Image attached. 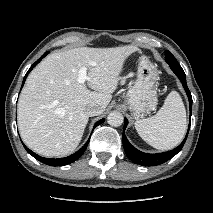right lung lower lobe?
Masks as SVG:
<instances>
[{
  "label": "right lung lower lobe",
  "instance_id": "right-lung-lower-lobe-1",
  "mask_svg": "<svg viewBox=\"0 0 213 213\" xmlns=\"http://www.w3.org/2000/svg\"><path fill=\"white\" fill-rule=\"evenodd\" d=\"M49 52H46L44 53L31 67L30 69L28 70V72L26 73L24 79H23V83H22V86L25 82V79L28 75V73L48 54ZM104 121V119H101L100 121H97L95 123V127H97L99 124H101L102 122ZM93 128V129H94ZM89 140L90 138L88 139V141L85 143V145L80 149L78 150L76 153L68 156V157H65V158H57V159H49V158H43L39 155H37L36 153L32 152L31 150H29L26 146L25 149L27 150V152L29 154H31L34 158H36L37 160H39L40 162L44 163V164H47V165H51V166H64V165H67V164H70L74 161H76L83 153L84 151L86 150L87 146H88V143H89Z\"/></svg>",
  "mask_w": 213,
  "mask_h": 213
}]
</instances>
